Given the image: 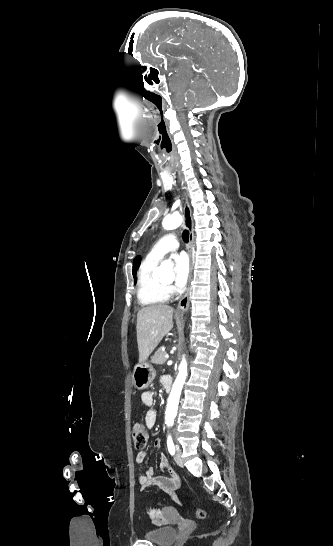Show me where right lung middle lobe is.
I'll return each mask as SVG.
<instances>
[{
	"label": "right lung middle lobe",
	"instance_id": "dd1d6c3e",
	"mask_svg": "<svg viewBox=\"0 0 333 546\" xmlns=\"http://www.w3.org/2000/svg\"><path fill=\"white\" fill-rule=\"evenodd\" d=\"M138 269V265L137 264H134L133 265V276H135V273H136V270Z\"/></svg>",
	"mask_w": 333,
	"mask_h": 546
}]
</instances>
